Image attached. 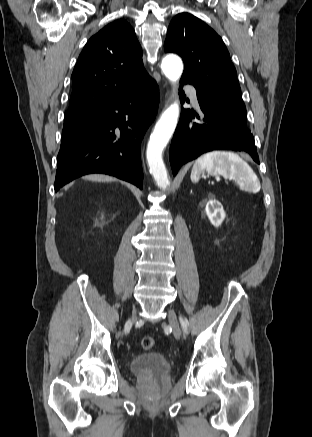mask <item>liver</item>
I'll list each match as a JSON object with an SVG mask.
<instances>
[{
  "label": "liver",
  "instance_id": "liver-1",
  "mask_svg": "<svg viewBox=\"0 0 312 437\" xmlns=\"http://www.w3.org/2000/svg\"><path fill=\"white\" fill-rule=\"evenodd\" d=\"M84 179L97 182H111L116 180L115 178H112L110 176L100 174L88 175L85 176Z\"/></svg>",
  "mask_w": 312,
  "mask_h": 437
}]
</instances>
